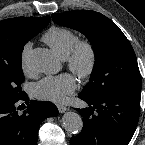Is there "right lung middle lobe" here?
Here are the masks:
<instances>
[{
  "instance_id": "right-lung-middle-lobe-1",
  "label": "right lung middle lobe",
  "mask_w": 145,
  "mask_h": 145,
  "mask_svg": "<svg viewBox=\"0 0 145 145\" xmlns=\"http://www.w3.org/2000/svg\"><path fill=\"white\" fill-rule=\"evenodd\" d=\"M46 26L47 24H41L23 30L14 40L18 48L17 56L8 62H0V99L15 100L21 98L25 94L21 89V83L24 81L21 65L23 47Z\"/></svg>"
}]
</instances>
